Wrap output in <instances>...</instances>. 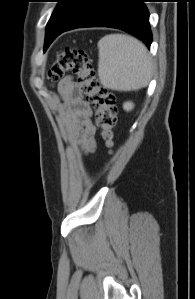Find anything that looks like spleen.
<instances>
[{"mask_svg":"<svg viewBox=\"0 0 195 299\" xmlns=\"http://www.w3.org/2000/svg\"><path fill=\"white\" fill-rule=\"evenodd\" d=\"M98 77L104 88L131 91L146 87L152 76V60L137 39L110 34L98 42Z\"/></svg>","mask_w":195,"mask_h":299,"instance_id":"1","label":"spleen"}]
</instances>
